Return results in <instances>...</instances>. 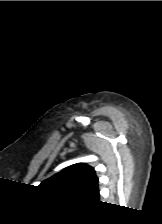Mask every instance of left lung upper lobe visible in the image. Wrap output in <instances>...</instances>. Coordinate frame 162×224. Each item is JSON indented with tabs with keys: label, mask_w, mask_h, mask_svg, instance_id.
Wrapping results in <instances>:
<instances>
[{
	"label": "left lung upper lobe",
	"mask_w": 162,
	"mask_h": 224,
	"mask_svg": "<svg viewBox=\"0 0 162 224\" xmlns=\"http://www.w3.org/2000/svg\"><path fill=\"white\" fill-rule=\"evenodd\" d=\"M39 187L64 196L88 199L98 192V178L91 166L78 163L46 179Z\"/></svg>",
	"instance_id": "1"
}]
</instances>
